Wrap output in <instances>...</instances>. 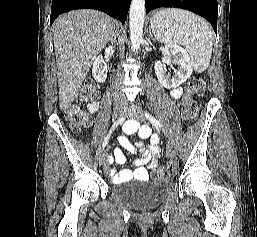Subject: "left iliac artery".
<instances>
[{
  "mask_svg": "<svg viewBox=\"0 0 257 237\" xmlns=\"http://www.w3.org/2000/svg\"><path fill=\"white\" fill-rule=\"evenodd\" d=\"M145 117L152 123V125L154 127H157V128L162 127L161 123L155 117H153L151 114L145 112Z\"/></svg>",
  "mask_w": 257,
  "mask_h": 237,
  "instance_id": "obj_1",
  "label": "left iliac artery"
}]
</instances>
